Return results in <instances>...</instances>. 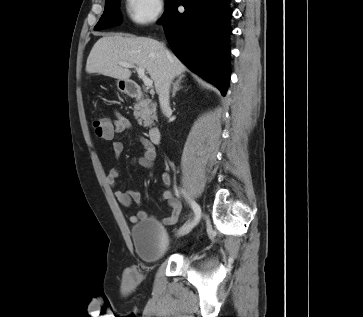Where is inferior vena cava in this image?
<instances>
[{"label": "inferior vena cava", "mask_w": 363, "mask_h": 317, "mask_svg": "<svg viewBox=\"0 0 363 317\" xmlns=\"http://www.w3.org/2000/svg\"><path fill=\"white\" fill-rule=\"evenodd\" d=\"M165 52H166L167 57H170L169 52L167 50H165ZM173 78H174V74L171 71V69L168 68L164 74V77L161 81L159 91H158L160 107L162 109L163 114H165V115L171 111L170 104H169V92H170V86H171Z\"/></svg>", "instance_id": "602c4592"}]
</instances>
